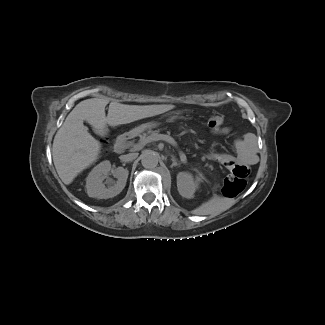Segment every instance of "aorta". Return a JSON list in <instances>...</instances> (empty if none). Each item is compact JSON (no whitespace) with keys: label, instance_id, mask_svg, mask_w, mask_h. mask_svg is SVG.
Instances as JSON below:
<instances>
[{"label":"aorta","instance_id":"762f6f07","mask_svg":"<svg viewBox=\"0 0 325 325\" xmlns=\"http://www.w3.org/2000/svg\"><path fill=\"white\" fill-rule=\"evenodd\" d=\"M141 163L144 168L152 169L158 165V154L147 150L141 155Z\"/></svg>","mask_w":325,"mask_h":325}]
</instances>
